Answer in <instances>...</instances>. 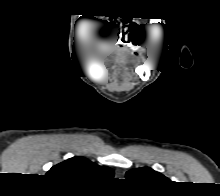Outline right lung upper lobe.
Instances as JSON below:
<instances>
[{
  "label": "right lung upper lobe",
  "mask_w": 220,
  "mask_h": 196,
  "mask_svg": "<svg viewBox=\"0 0 220 196\" xmlns=\"http://www.w3.org/2000/svg\"><path fill=\"white\" fill-rule=\"evenodd\" d=\"M46 175L75 184L94 185L102 180L111 179L114 171L84 157H73L53 166Z\"/></svg>",
  "instance_id": "obj_1"
}]
</instances>
